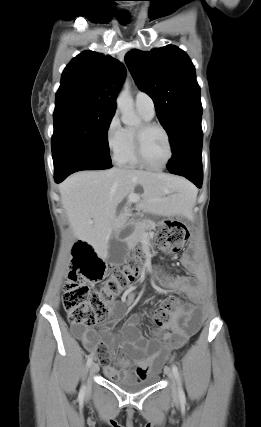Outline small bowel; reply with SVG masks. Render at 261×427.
Returning a JSON list of instances; mask_svg holds the SVG:
<instances>
[{
	"mask_svg": "<svg viewBox=\"0 0 261 427\" xmlns=\"http://www.w3.org/2000/svg\"><path fill=\"white\" fill-rule=\"evenodd\" d=\"M180 263L194 276H171L154 270V287L159 291L170 290L183 293L194 304H198L201 300L200 269L188 253L182 256ZM147 270H150L149 265ZM134 299L135 293L130 292L114 303L111 308V319L99 325L98 330L79 326L72 328L73 334L85 348L93 354H98L105 374L111 378L141 379L159 371L168 354L185 344L187 339L195 333L202 319L201 313L196 308H178L170 315L165 324L168 331L163 333L161 341L158 338L147 339L144 337L138 328L141 316L133 314L125 322L121 336L115 337L111 333V325L116 323L123 314L124 306L130 305ZM117 344L128 352L148 353L146 357L135 360L136 369L133 373H119L111 367L108 350Z\"/></svg>",
	"mask_w": 261,
	"mask_h": 427,
	"instance_id": "1",
	"label": "small bowel"
}]
</instances>
